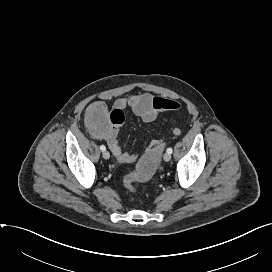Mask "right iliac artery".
<instances>
[{"mask_svg":"<svg viewBox=\"0 0 272 272\" xmlns=\"http://www.w3.org/2000/svg\"><path fill=\"white\" fill-rule=\"evenodd\" d=\"M100 150H101V151H105V150H106V147H105L104 145H101V146H100Z\"/></svg>","mask_w":272,"mask_h":272,"instance_id":"1","label":"right iliac artery"}]
</instances>
